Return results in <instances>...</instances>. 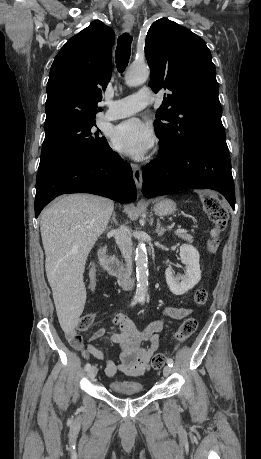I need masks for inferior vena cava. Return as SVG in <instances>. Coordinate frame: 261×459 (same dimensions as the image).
<instances>
[{
	"label": "inferior vena cava",
	"instance_id": "obj_1",
	"mask_svg": "<svg viewBox=\"0 0 261 459\" xmlns=\"http://www.w3.org/2000/svg\"><path fill=\"white\" fill-rule=\"evenodd\" d=\"M114 234L116 243L125 259L127 276L130 277L132 273V240L128 228L121 225L120 228L114 230Z\"/></svg>",
	"mask_w": 261,
	"mask_h": 459
}]
</instances>
